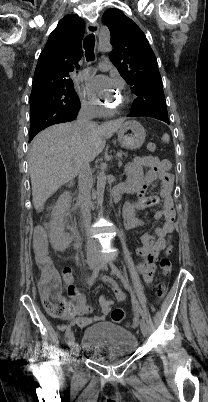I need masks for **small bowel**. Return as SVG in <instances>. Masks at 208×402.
Returning a JSON list of instances; mask_svg holds the SVG:
<instances>
[{
  "instance_id": "c3829d8e",
  "label": "small bowel",
  "mask_w": 208,
  "mask_h": 402,
  "mask_svg": "<svg viewBox=\"0 0 208 402\" xmlns=\"http://www.w3.org/2000/svg\"><path fill=\"white\" fill-rule=\"evenodd\" d=\"M170 162L166 159H160L154 156H142L136 158L127 166V181L126 188L128 192L137 193L138 198L126 204L124 208L125 225L128 229H136L144 226V221L137 216L139 210L151 205L154 202L153 198L147 197L148 188L155 182H160V198L161 208L156 212V219H163L162 227L156 228L154 234L145 233L142 236L143 246L138 248L137 254L142 258L137 265V270L143 274V279L146 283H151L154 278L155 261L161 250L170 242L174 231L175 212L171 191L173 185V177L170 174ZM143 168H147L148 172L143 175ZM63 276L66 277L67 291L73 301V315H61L58 318L59 323L71 324L76 323L80 330H88L90 324H100L102 318L109 313L112 301L108 298H100V306L102 316L93 315L89 317L87 314L90 310L85 303L83 297L77 293L73 284V276L70 270H64ZM103 283L112 290L117 302H124L126 294L121 285L110 277H104ZM61 297V295H42V297ZM102 317V318H101Z\"/></svg>"
}]
</instances>
